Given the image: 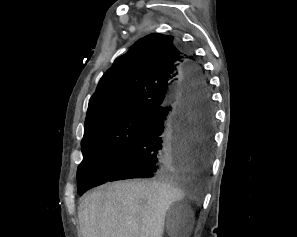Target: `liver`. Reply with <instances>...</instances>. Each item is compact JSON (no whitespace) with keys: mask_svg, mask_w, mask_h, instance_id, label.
I'll list each match as a JSON object with an SVG mask.
<instances>
[{"mask_svg":"<svg viewBox=\"0 0 297 237\" xmlns=\"http://www.w3.org/2000/svg\"><path fill=\"white\" fill-rule=\"evenodd\" d=\"M189 179L125 180L102 186L78 208L83 237H162L166 212L184 198Z\"/></svg>","mask_w":297,"mask_h":237,"instance_id":"1","label":"liver"}]
</instances>
